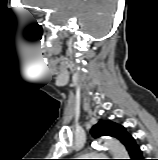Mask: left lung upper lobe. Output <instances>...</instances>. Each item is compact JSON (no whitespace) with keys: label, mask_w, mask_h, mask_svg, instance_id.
I'll list each match as a JSON object with an SVG mask.
<instances>
[{"label":"left lung upper lobe","mask_w":158,"mask_h":160,"mask_svg":"<svg viewBox=\"0 0 158 160\" xmlns=\"http://www.w3.org/2000/svg\"><path fill=\"white\" fill-rule=\"evenodd\" d=\"M91 134L95 138L100 136H111L120 140L121 143H124L125 139L129 135L123 126L106 120L99 121L94 125L91 129Z\"/></svg>","instance_id":"left-lung-upper-lobe-1"}]
</instances>
